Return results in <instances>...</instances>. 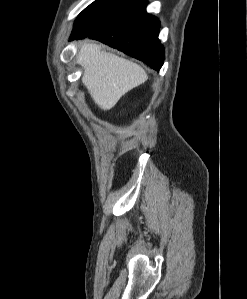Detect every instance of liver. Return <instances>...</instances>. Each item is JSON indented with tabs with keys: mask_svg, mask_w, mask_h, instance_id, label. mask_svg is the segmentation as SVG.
<instances>
[{
	"mask_svg": "<svg viewBox=\"0 0 247 299\" xmlns=\"http://www.w3.org/2000/svg\"><path fill=\"white\" fill-rule=\"evenodd\" d=\"M77 63L84 69L82 83L104 111L114 107L123 95L147 80L140 65L103 51L99 44H83Z\"/></svg>",
	"mask_w": 247,
	"mask_h": 299,
	"instance_id": "obj_1",
	"label": "liver"
}]
</instances>
